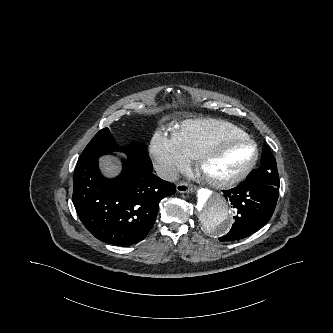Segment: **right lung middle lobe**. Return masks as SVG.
<instances>
[{
	"label": "right lung middle lobe",
	"mask_w": 333,
	"mask_h": 333,
	"mask_svg": "<svg viewBox=\"0 0 333 333\" xmlns=\"http://www.w3.org/2000/svg\"><path fill=\"white\" fill-rule=\"evenodd\" d=\"M124 151L129 156H142L147 157L148 152L145 145L138 142L131 143L127 147H119L116 145L115 140L108 128L100 130L83 151V155H102L113 151Z\"/></svg>",
	"instance_id": "right-lung-middle-lobe-1"
}]
</instances>
